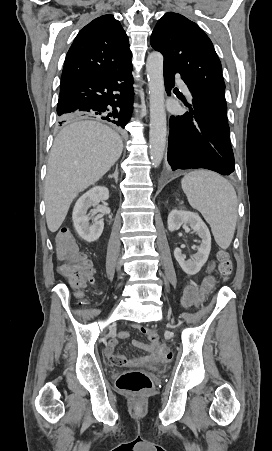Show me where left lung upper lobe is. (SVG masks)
<instances>
[{
    "label": "left lung upper lobe",
    "instance_id": "5c2ea615",
    "mask_svg": "<svg viewBox=\"0 0 272 451\" xmlns=\"http://www.w3.org/2000/svg\"><path fill=\"white\" fill-rule=\"evenodd\" d=\"M150 42L188 88L227 111L220 60L211 40L196 23L181 14L166 13L156 24Z\"/></svg>",
    "mask_w": 272,
    "mask_h": 451
}]
</instances>
